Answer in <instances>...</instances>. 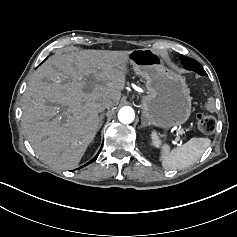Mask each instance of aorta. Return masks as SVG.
Masks as SVG:
<instances>
[{
  "mask_svg": "<svg viewBox=\"0 0 237 237\" xmlns=\"http://www.w3.org/2000/svg\"><path fill=\"white\" fill-rule=\"evenodd\" d=\"M134 118L135 113L130 107H123L118 112V119L122 124H130Z\"/></svg>",
  "mask_w": 237,
  "mask_h": 237,
  "instance_id": "1",
  "label": "aorta"
}]
</instances>
